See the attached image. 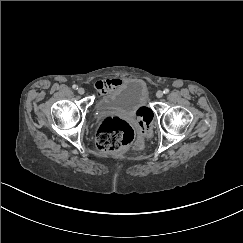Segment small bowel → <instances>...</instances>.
I'll list each match as a JSON object with an SVG mask.
<instances>
[{
	"label": "small bowel",
	"instance_id": "obj_1",
	"mask_svg": "<svg viewBox=\"0 0 243 243\" xmlns=\"http://www.w3.org/2000/svg\"><path fill=\"white\" fill-rule=\"evenodd\" d=\"M123 80L119 78H112L107 80H99L95 83V89L97 90L98 94L104 95L108 94L112 90H114L116 87H118Z\"/></svg>",
	"mask_w": 243,
	"mask_h": 243
}]
</instances>
